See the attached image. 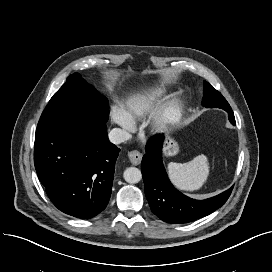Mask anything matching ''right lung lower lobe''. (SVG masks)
<instances>
[{"label":"right lung lower lobe","instance_id":"obj_1","mask_svg":"<svg viewBox=\"0 0 272 272\" xmlns=\"http://www.w3.org/2000/svg\"><path fill=\"white\" fill-rule=\"evenodd\" d=\"M119 151L108 140L105 123L76 117L36 129L34 164L52 203L70 216L89 219L109 202Z\"/></svg>","mask_w":272,"mask_h":272}]
</instances>
